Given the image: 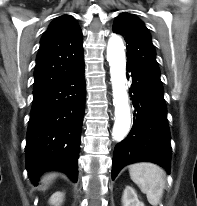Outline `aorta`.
Returning a JSON list of instances; mask_svg holds the SVG:
<instances>
[{
    "instance_id": "762f6f07",
    "label": "aorta",
    "mask_w": 197,
    "mask_h": 206,
    "mask_svg": "<svg viewBox=\"0 0 197 206\" xmlns=\"http://www.w3.org/2000/svg\"><path fill=\"white\" fill-rule=\"evenodd\" d=\"M122 39L112 34L107 46V61L110 66V76L113 89V104L115 106V122L112 136L121 141L128 134L131 124L130 107L126 87V59Z\"/></svg>"
}]
</instances>
